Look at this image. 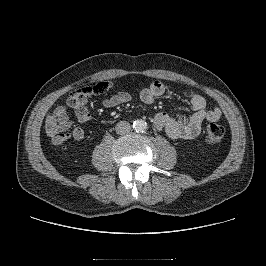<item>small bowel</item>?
Masks as SVG:
<instances>
[{
	"mask_svg": "<svg viewBox=\"0 0 266 266\" xmlns=\"http://www.w3.org/2000/svg\"><path fill=\"white\" fill-rule=\"evenodd\" d=\"M165 86L159 81L152 82L140 92V100L144 104L153 103L165 93ZM129 93L121 91L104 99V107H116L130 101ZM87 97L70 96L65 105L57 106L47 117L45 132L54 145H61L68 141L79 142L86 138L83 129L76 127L70 131L71 118H76L80 123L89 122L92 118ZM189 105L193 113L189 116H171L165 112L158 113L154 118V126L174 140H189L197 137L201 131L203 121H217L221 117L218 108L207 109L205 99L198 93H189Z\"/></svg>",
	"mask_w": 266,
	"mask_h": 266,
	"instance_id": "small-bowel-1",
	"label": "small bowel"
}]
</instances>
